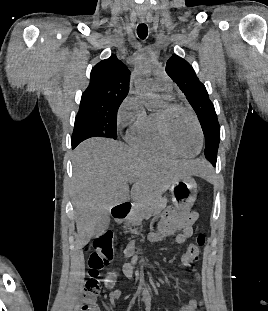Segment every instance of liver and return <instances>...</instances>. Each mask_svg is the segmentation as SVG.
<instances>
[{"mask_svg":"<svg viewBox=\"0 0 268 311\" xmlns=\"http://www.w3.org/2000/svg\"><path fill=\"white\" fill-rule=\"evenodd\" d=\"M208 168L199 159L180 161L142 154L112 139L83 141L73 152L72 199L78 245L88 244L114 206L130 199L138 202L160 197L176 180L200 176Z\"/></svg>","mask_w":268,"mask_h":311,"instance_id":"6515ba94","label":"liver"}]
</instances>
